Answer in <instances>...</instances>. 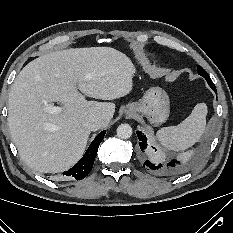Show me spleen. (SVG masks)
<instances>
[{"label": "spleen", "mask_w": 233, "mask_h": 233, "mask_svg": "<svg viewBox=\"0 0 233 233\" xmlns=\"http://www.w3.org/2000/svg\"><path fill=\"white\" fill-rule=\"evenodd\" d=\"M207 106L198 103L191 114L177 126L158 130L157 138L169 150H184L199 140L205 131Z\"/></svg>", "instance_id": "1"}]
</instances>
